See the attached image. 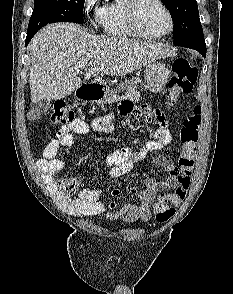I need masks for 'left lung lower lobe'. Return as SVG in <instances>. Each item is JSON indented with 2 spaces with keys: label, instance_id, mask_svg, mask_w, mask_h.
Masks as SVG:
<instances>
[{
  "label": "left lung lower lobe",
  "instance_id": "obj_1",
  "mask_svg": "<svg viewBox=\"0 0 233 294\" xmlns=\"http://www.w3.org/2000/svg\"><path fill=\"white\" fill-rule=\"evenodd\" d=\"M203 57H206V46L197 50Z\"/></svg>",
  "mask_w": 233,
  "mask_h": 294
}]
</instances>
